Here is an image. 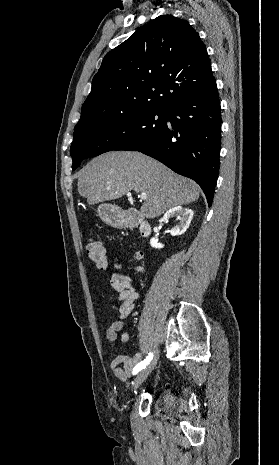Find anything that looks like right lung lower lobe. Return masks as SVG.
<instances>
[{"label": "right lung lower lobe", "mask_w": 279, "mask_h": 465, "mask_svg": "<svg viewBox=\"0 0 279 465\" xmlns=\"http://www.w3.org/2000/svg\"><path fill=\"white\" fill-rule=\"evenodd\" d=\"M165 110L167 123L157 138L122 150L142 152L193 179L211 206L219 173L222 122L215 79Z\"/></svg>", "instance_id": "1"}]
</instances>
